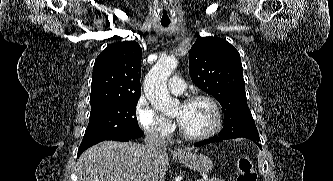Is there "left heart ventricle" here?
<instances>
[{"mask_svg":"<svg viewBox=\"0 0 333 181\" xmlns=\"http://www.w3.org/2000/svg\"><path fill=\"white\" fill-rule=\"evenodd\" d=\"M183 129L190 134H201L210 129L214 115L211 106L205 101L180 104L173 111Z\"/></svg>","mask_w":333,"mask_h":181,"instance_id":"b2bd125f","label":"left heart ventricle"}]
</instances>
